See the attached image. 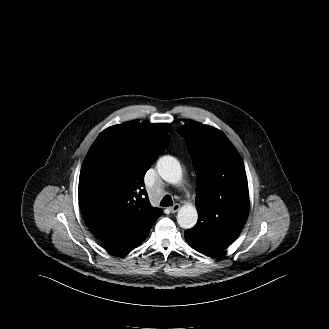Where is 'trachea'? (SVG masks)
<instances>
[{"label":"trachea","instance_id":"3493384b","mask_svg":"<svg viewBox=\"0 0 329 329\" xmlns=\"http://www.w3.org/2000/svg\"><path fill=\"white\" fill-rule=\"evenodd\" d=\"M161 206H172L173 205V201L170 195H166L164 196V198L161 200L160 202Z\"/></svg>","mask_w":329,"mask_h":329}]
</instances>
